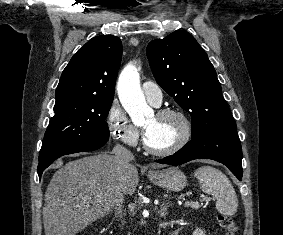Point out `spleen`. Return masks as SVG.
I'll return each instance as SVG.
<instances>
[{
    "label": "spleen",
    "mask_w": 283,
    "mask_h": 235,
    "mask_svg": "<svg viewBox=\"0 0 283 235\" xmlns=\"http://www.w3.org/2000/svg\"><path fill=\"white\" fill-rule=\"evenodd\" d=\"M194 177L204 193L216 197V208L220 213L232 216L237 212V195L224 173L212 166H202L194 171Z\"/></svg>",
    "instance_id": "spleen-1"
}]
</instances>
